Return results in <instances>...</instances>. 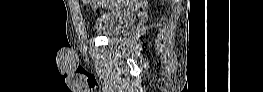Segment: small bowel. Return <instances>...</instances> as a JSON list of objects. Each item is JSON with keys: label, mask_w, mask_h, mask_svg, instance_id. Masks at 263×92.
<instances>
[{"label": "small bowel", "mask_w": 263, "mask_h": 92, "mask_svg": "<svg viewBox=\"0 0 263 92\" xmlns=\"http://www.w3.org/2000/svg\"><path fill=\"white\" fill-rule=\"evenodd\" d=\"M94 2H97V1H94ZM97 3H100V2H97ZM116 4H112V6H115Z\"/></svg>", "instance_id": "obj_1"}]
</instances>
